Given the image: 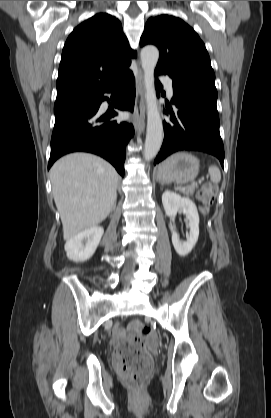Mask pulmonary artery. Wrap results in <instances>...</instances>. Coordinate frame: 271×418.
<instances>
[{
  "instance_id": "1",
  "label": "pulmonary artery",
  "mask_w": 271,
  "mask_h": 418,
  "mask_svg": "<svg viewBox=\"0 0 271 418\" xmlns=\"http://www.w3.org/2000/svg\"><path fill=\"white\" fill-rule=\"evenodd\" d=\"M162 82L164 83L166 87V91L169 97H173V86H172V80L168 77H162Z\"/></svg>"
}]
</instances>
